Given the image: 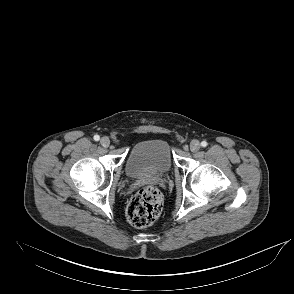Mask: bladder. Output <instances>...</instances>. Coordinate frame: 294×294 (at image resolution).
<instances>
[{
	"label": "bladder",
	"mask_w": 294,
	"mask_h": 294,
	"mask_svg": "<svg viewBox=\"0 0 294 294\" xmlns=\"http://www.w3.org/2000/svg\"><path fill=\"white\" fill-rule=\"evenodd\" d=\"M173 162L168 141L160 138L142 140L130 149L126 172L132 178L162 175L170 171Z\"/></svg>",
	"instance_id": "1"
}]
</instances>
